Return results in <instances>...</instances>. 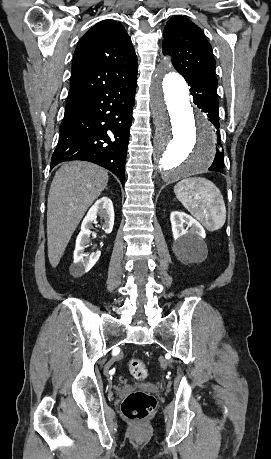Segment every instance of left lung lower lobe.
Listing matches in <instances>:
<instances>
[{
	"label": "left lung lower lobe",
	"instance_id": "0a47b994",
	"mask_svg": "<svg viewBox=\"0 0 271 459\" xmlns=\"http://www.w3.org/2000/svg\"><path fill=\"white\" fill-rule=\"evenodd\" d=\"M189 86L190 92L193 95V102L203 112L207 113L208 118L214 125L217 137L216 155L215 159L208 169L210 171H217L224 173V152L220 139V124H219V102L217 96V82L211 78H204L201 80L185 79Z\"/></svg>",
	"mask_w": 271,
	"mask_h": 459
}]
</instances>
